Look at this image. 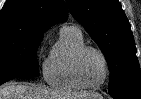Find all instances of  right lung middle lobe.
<instances>
[{"instance_id": "dd1d6c3e", "label": "right lung middle lobe", "mask_w": 141, "mask_h": 99, "mask_svg": "<svg viewBox=\"0 0 141 99\" xmlns=\"http://www.w3.org/2000/svg\"><path fill=\"white\" fill-rule=\"evenodd\" d=\"M43 37L0 34V85L14 78L39 76L36 51Z\"/></svg>"}]
</instances>
